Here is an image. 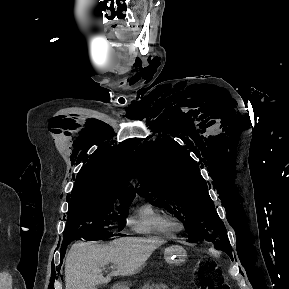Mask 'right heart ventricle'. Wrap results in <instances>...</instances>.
<instances>
[{
	"label": "right heart ventricle",
	"mask_w": 289,
	"mask_h": 289,
	"mask_svg": "<svg viewBox=\"0 0 289 289\" xmlns=\"http://www.w3.org/2000/svg\"><path fill=\"white\" fill-rule=\"evenodd\" d=\"M175 217L152 203L144 201L128 215V226L143 235L174 236L179 232L174 225Z\"/></svg>",
	"instance_id": "e07e8e85"
}]
</instances>
